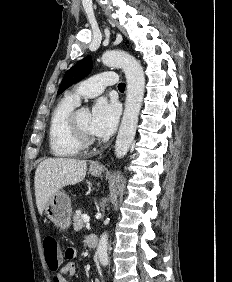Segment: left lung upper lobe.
Returning <instances> with one entry per match:
<instances>
[{"label": "left lung upper lobe", "mask_w": 232, "mask_h": 282, "mask_svg": "<svg viewBox=\"0 0 232 282\" xmlns=\"http://www.w3.org/2000/svg\"><path fill=\"white\" fill-rule=\"evenodd\" d=\"M92 67L93 64L90 56L79 61L65 73L57 94H61L72 84L86 77L91 72Z\"/></svg>", "instance_id": "1"}]
</instances>
